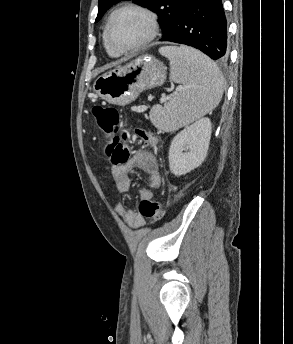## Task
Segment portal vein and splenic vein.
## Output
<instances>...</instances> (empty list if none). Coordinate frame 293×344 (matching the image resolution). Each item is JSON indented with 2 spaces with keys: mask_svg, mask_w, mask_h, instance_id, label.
Masks as SVG:
<instances>
[{
  "mask_svg": "<svg viewBox=\"0 0 293 344\" xmlns=\"http://www.w3.org/2000/svg\"><path fill=\"white\" fill-rule=\"evenodd\" d=\"M180 89H181V87H178L176 91H179ZM175 93H176V92H174L173 94H175ZM173 94H172V95H173ZM167 99H169L168 96H167V97L163 96L162 99H161V101H166Z\"/></svg>",
  "mask_w": 293,
  "mask_h": 344,
  "instance_id": "18ae733b",
  "label": "portal vein and splenic vein"
}]
</instances>
